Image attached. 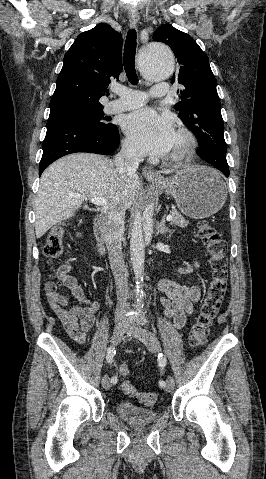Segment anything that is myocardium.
<instances>
[{
    "instance_id": "f54148a6",
    "label": "myocardium",
    "mask_w": 266,
    "mask_h": 479,
    "mask_svg": "<svg viewBox=\"0 0 266 479\" xmlns=\"http://www.w3.org/2000/svg\"><path fill=\"white\" fill-rule=\"evenodd\" d=\"M176 134L182 138V144L174 150L165 159L168 163H182L189 159L195 152L197 147V140L194 134L185 128L177 130Z\"/></svg>"
}]
</instances>
